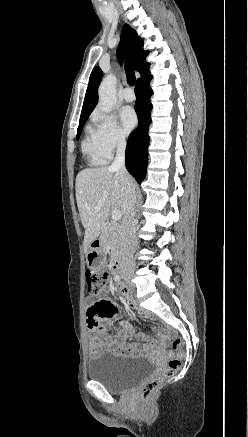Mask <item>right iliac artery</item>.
I'll use <instances>...</instances> for the list:
<instances>
[{
	"instance_id": "1",
	"label": "right iliac artery",
	"mask_w": 248,
	"mask_h": 437,
	"mask_svg": "<svg viewBox=\"0 0 248 437\" xmlns=\"http://www.w3.org/2000/svg\"><path fill=\"white\" fill-rule=\"evenodd\" d=\"M121 277L120 276H115V280L116 281H120Z\"/></svg>"
}]
</instances>
